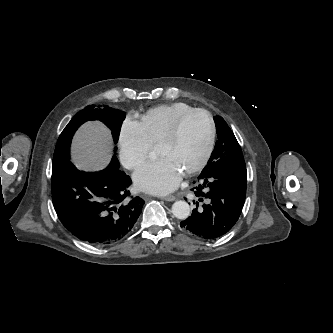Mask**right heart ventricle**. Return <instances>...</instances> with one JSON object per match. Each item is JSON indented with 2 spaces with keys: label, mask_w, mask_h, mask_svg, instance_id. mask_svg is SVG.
<instances>
[{
  "label": "right heart ventricle",
  "mask_w": 333,
  "mask_h": 333,
  "mask_svg": "<svg viewBox=\"0 0 333 333\" xmlns=\"http://www.w3.org/2000/svg\"><path fill=\"white\" fill-rule=\"evenodd\" d=\"M194 109L183 102H175L153 107L141 116V123L152 144H158L172 123L183 113Z\"/></svg>",
  "instance_id": "right-heart-ventricle-1"
}]
</instances>
